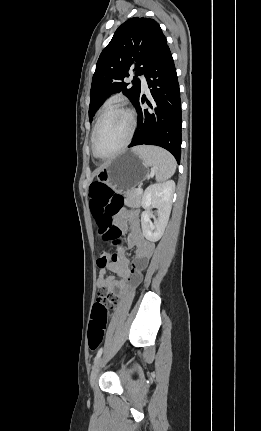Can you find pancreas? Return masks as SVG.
I'll return each mask as SVG.
<instances>
[{
  "label": "pancreas",
  "mask_w": 261,
  "mask_h": 431,
  "mask_svg": "<svg viewBox=\"0 0 261 431\" xmlns=\"http://www.w3.org/2000/svg\"><path fill=\"white\" fill-rule=\"evenodd\" d=\"M124 197V203L128 207L137 208L142 205V193H138L137 189L127 191Z\"/></svg>",
  "instance_id": "cf45deb5"
}]
</instances>
